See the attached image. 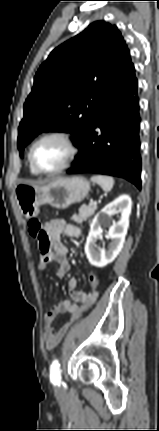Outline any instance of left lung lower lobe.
Listing matches in <instances>:
<instances>
[{"mask_svg":"<svg viewBox=\"0 0 159 431\" xmlns=\"http://www.w3.org/2000/svg\"><path fill=\"white\" fill-rule=\"evenodd\" d=\"M138 82L133 64L99 107L78 144L67 173H99L125 178L141 189Z\"/></svg>","mask_w":159,"mask_h":431,"instance_id":"left-lung-lower-lobe-1","label":"left lung lower lobe"}]
</instances>
